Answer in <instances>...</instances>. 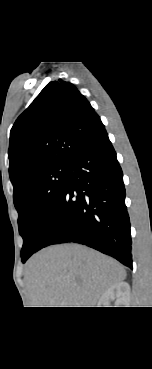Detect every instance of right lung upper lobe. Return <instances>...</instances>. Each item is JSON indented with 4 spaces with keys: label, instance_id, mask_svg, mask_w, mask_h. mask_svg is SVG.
Listing matches in <instances>:
<instances>
[{
    "label": "right lung upper lobe",
    "instance_id": "cb5924a9",
    "mask_svg": "<svg viewBox=\"0 0 152 369\" xmlns=\"http://www.w3.org/2000/svg\"><path fill=\"white\" fill-rule=\"evenodd\" d=\"M105 130L87 99L70 82H50L10 132L9 176L17 194L29 178L75 153Z\"/></svg>",
    "mask_w": 152,
    "mask_h": 369
}]
</instances>
